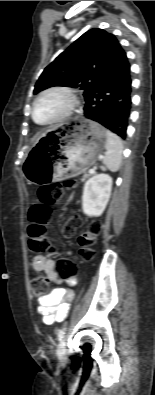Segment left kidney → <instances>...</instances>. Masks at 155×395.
I'll list each match as a JSON object with an SVG mask.
<instances>
[{"label":"left kidney","instance_id":"5707ae66","mask_svg":"<svg viewBox=\"0 0 155 395\" xmlns=\"http://www.w3.org/2000/svg\"><path fill=\"white\" fill-rule=\"evenodd\" d=\"M112 178L108 174H96L89 178L83 188L82 209L87 216H101L109 201Z\"/></svg>","mask_w":155,"mask_h":395}]
</instances>
